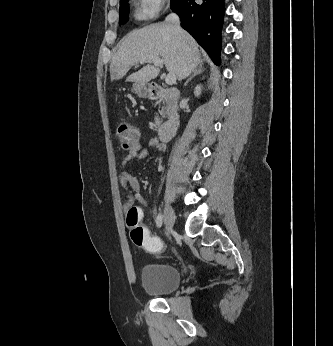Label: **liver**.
<instances>
[{"mask_svg": "<svg viewBox=\"0 0 333 346\" xmlns=\"http://www.w3.org/2000/svg\"><path fill=\"white\" fill-rule=\"evenodd\" d=\"M149 57H161L167 71L175 74L179 81L188 77L201 62L198 44L189 33L182 29L178 31L167 22L152 24L123 39L111 60V80L123 78L133 65ZM159 72L158 67L147 65L127 80L148 83Z\"/></svg>", "mask_w": 333, "mask_h": 346, "instance_id": "6515ba94", "label": "liver"}]
</instances>
